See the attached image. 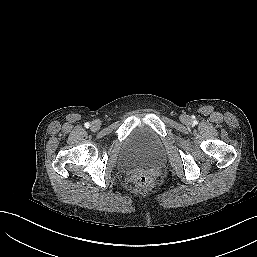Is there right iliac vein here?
Masks as SVG:
<instances>
[{"mask_svg":"<svg viewBox=\"0 0 257 257\" xmlns=\"http://www.w3.org/2000/svg\"><path fill=\"white\" fill-rule=\"evenodd\" d=\"M99 128H100L99 122L93 121V122L91 123V130H92V131H97Z\"/></svg>","mask_w":257,"mask_h":257,"instance_id":"63e3f726","label":"right iliac vein"}]
</instances>
